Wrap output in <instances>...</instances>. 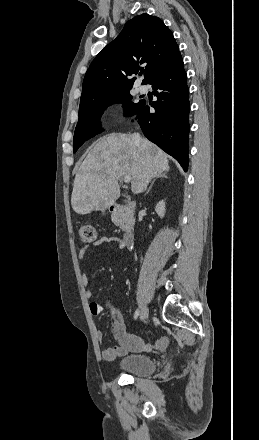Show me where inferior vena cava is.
<instances>
[{"instance_id": "602c4592", "label": "inferior vena cava", "mask_w": 259, "mask_h": 440, "mask_svg": "<svg viewBox=\"0 0 259 440\" xmlns=\"http://www.w3.org/2000/svg\"><path fill=\"white\" fill-rule=\"evenodd\" d=\"M133 136H134V139L136 142H140L141 137H140L139 133H135Z\"/></svg>"}]
</instances>
